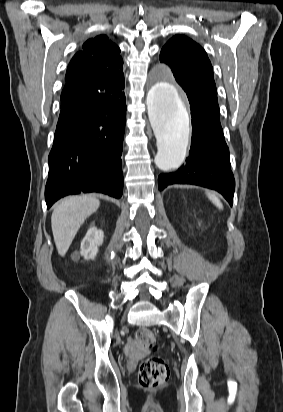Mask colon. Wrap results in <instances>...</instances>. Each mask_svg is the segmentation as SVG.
I'll list each match as a JSON object with an SVG mask.
<instances>
[{"mask_svg":"<svg viewBox=\"0 0 283 412\" xmlns=\"http://www.w3.org/2000/svg\"><path fill=\"white\" fill-rule=\"evenodd\" d=\"M137 343L148 349L158 348V342L154 333L146 328L136 332ZM170 376L168 364L160 357L150 356L140 364L138 371L139 382L143 387L156 388L163 385Z\"/></svg>","mask_w":283,"mask_h":412,"instance_id":"1","label":"colon"}]
</instances>
